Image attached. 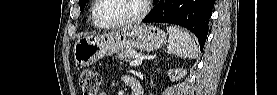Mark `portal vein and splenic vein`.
Returning a JSON list of instances; mask_svg holds the SVG:
<instances>
[{
  "instance_id": "portal-vein-and-splenic-vein-1",
  "label": "portal vein and splenic vein",
  "mask_w": 277,
  "mask_h": 95,
  "mask_svg": "<svg viewBox=\"0 0 277 95\" xmlns=\"http://www.w3.org/2000/svg\"><path fill=\"white\" fill-rule=\"evenodd\" d=\"M143 59L142 58H136L132 62H130V66H139L142 63Z\"/></svg>"
}]
</instances>
